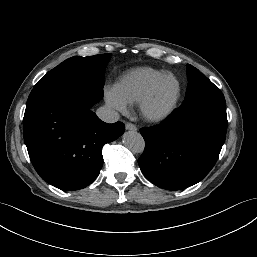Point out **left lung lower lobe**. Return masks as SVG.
<instances>
[{"mask_svg": "<svg viewBox=\"0 0 257 257\" xmlns=\"http://www.w3.org/2000/svg\"><path fill=\"white\" fill-rule=\"evenodd\" d=\"M225 100L181 105L160 125L140 129L145 149L138 159L144 176L168 190L202 180L215 165L226 137Z\"/></svg>", "mask_w": 257, "mask_h": 257, "instance_id": "0a47b994", "label": "left lung lower lobe"}]
</instances>
